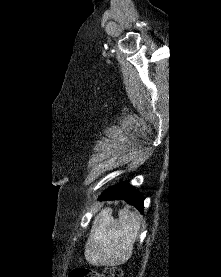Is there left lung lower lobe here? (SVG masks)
Masks as SVG:
<instances>
[{"label": "left lung lower lobe", "mask_w": 221, "mask_h": 277, "mask_svg": "<svg viewBox=\"0 0 221 277\" xmlns=\"http://www.w3.org/2000/svg\"><path fill=\"white\" fill-rule=\"evenodd\" d=\"M100 199L105 200H118L122 199L128 202L130 205H134L140 212H143V200L144 198L140 193L135 190L128 181L118 183L109 189L105 190Z\"/></svg>", "instance_id": "left-lung-lower-lobe-1"}]
</instances>
